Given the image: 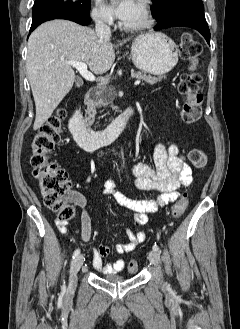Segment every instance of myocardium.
Returning <instances> with one entry per match:
<instances>
[{
  "label": "myocardium",
  "mask_w": 240,
  "mask_h": 329,
  "mask_svg": "<svg viewBox=\"0 0 240 329\" xmlns=\"http://www.w3.org/2000/svg\"><path fill=\"white\" fill-rule=\"evenodd\" d=\"M143 11V20L135 25H127L125 23L121 24V27L125 31L138 32L148 29L152 26L154 22L153 12L150 4V0H137Z\"/></svg>",
  "instance_id": "myocardium-1"
}]
</instances>
